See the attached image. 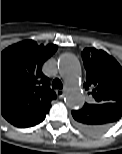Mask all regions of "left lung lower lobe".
I'll return each instance as SVG.
<instances>
[{"label": "left lung lower lobe", "mask_w": 122, "mask_h": 154, "mask_svg": "<svg viewBox=\"0 0 122 154\" xmlns=\"http://www.w3.org/2000/svg\"><path fill=\"white\" fill-rule=\"evenodd\" d=\"M122 116V103H85L77 111L75 125L84 132L98 133L108 129Z\"/></svg>", "instance_id": "0a47b994"}]
</instances>
